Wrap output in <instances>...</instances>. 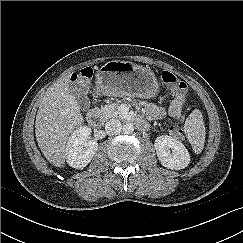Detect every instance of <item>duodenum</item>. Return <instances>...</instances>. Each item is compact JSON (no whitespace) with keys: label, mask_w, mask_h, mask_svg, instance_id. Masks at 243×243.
I'll list each match as a JSON object with an SVG mask.
<instances>
[{"label":"duodenum","mask_w":243,"mask_h":243,"mask_svg":"<svg viewBox=\"0 0 243 243\" xmlns=\"http://www.w3.org/2000/svg\"><path fill=\"white\" fill-rule=\"evenodd\" d=\"M134 121L140 129L145 130L147 128V124L142 119L136 118L134 119ZM87 123L93 127H98L102 124V116L99 110H89V112L87 113Z\"/></svg>","instance_id":"obj_1"}]
</instances>
